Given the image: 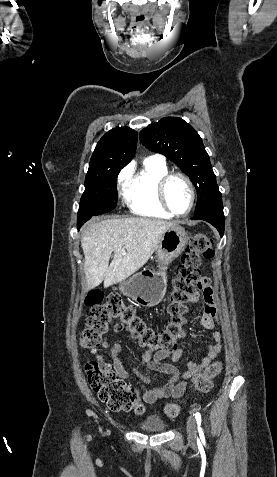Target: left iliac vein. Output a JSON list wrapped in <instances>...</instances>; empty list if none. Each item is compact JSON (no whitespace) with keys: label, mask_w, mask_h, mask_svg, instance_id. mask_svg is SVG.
Masks as SVG:
<instances>
[{"label":"left iliac vein","mask_w":277,"mask_h":477,"mask_svg":"<svg viewBox=\"0 0 277 477\" xmlns=\"http://www.w3.org/2000/svg\"><path fill=\"white\" fill-rule=\"evenodd\" d=\"M187 436H188V441L191 444H195V442H196V420L192 415L189 416L188 420H187Z\"/></svg>","instance_id":"1"}]
</instances>
